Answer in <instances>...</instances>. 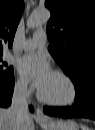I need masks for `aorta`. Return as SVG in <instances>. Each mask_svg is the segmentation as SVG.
I'll return each instance as SVG.
<instances>
[{"instance_id":"762f6f07","label":"aorta","mask_w":95,"mask_h":130,"mask_svg":"<svg viewBox=\"0 0 95 130\" xmlns=\"http://www.w3.org/2000/svg\"><path fill=\"white\" fill-rule=\"evenodd\" d=\"M50 15L51 14L48 9H37L31 14L27 25L29 28H33L38 25L45 24L50 19Z\"/></svg>"}]
</instances>
